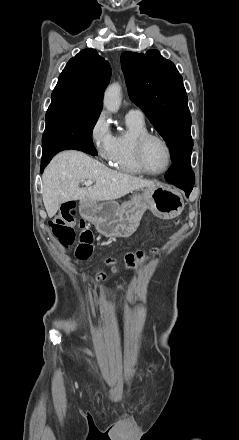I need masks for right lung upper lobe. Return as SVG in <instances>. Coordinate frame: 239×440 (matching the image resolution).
<instances>
[{
  "mask_svg": "<svg viewBox=\"0 0 239 440\" xmlns=\"http://www.w3.org/2000/svg\"><path fill=\"white\" fill-rule=\"evenodd\" d=\"M110 77V64L95 49H84L68 61L60 74L50 106L100 113Z\"/></svg>",
  "mask_w": 239,
  "mask_h": 440,
  "instance_id": "right-lung-upper-lobe-1",
  "label": "right lung upper lobe"
}]
</instances>
